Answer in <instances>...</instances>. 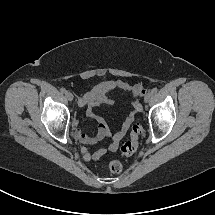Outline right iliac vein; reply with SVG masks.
Instances as JSON below:
<instances>
[{
  "label": "right iliac vein",
  "instance_id": "63e3f726",
  "mask_svg": "<svg viewBox=\"0 0 215 215\" xmlns=\"http://www.w3.org/2000/svg\"><path fill=\"white\" fill-rule=\"evenodd\" d=\"M66 97L69 101L73 100V95L70 92H66Z\"/></svg>",
  "mask_w": 215,
  "mask_h": 215
}]
</instances>
